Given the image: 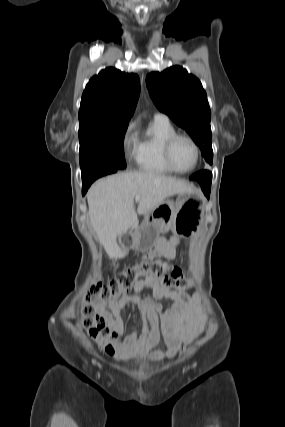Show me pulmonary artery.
<instances>
[{"instance_id": "1", "label": "pulmonary artery", "mask_w": 285, "mask_h": 427, "mask_svg": "<svg viewBox=\"0 0 285 427\" xmlns=\"http://www.w3.org/2000/svg\"><path fill=\"white\" fill-rule=\"evenodd\" d=\"M155 117H160V118H166V119H168L167 116L165 114H162V113H157L155 115Z\"/></svg>"}]
</instances>
